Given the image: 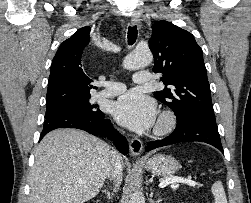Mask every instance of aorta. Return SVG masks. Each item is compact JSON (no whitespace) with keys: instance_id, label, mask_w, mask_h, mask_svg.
I'll use <instances>...</instances> for the list:
<instances>
[{"instance_id":"obj_1","label":"aorta","mask_w":251,"mask_h":203,"mask_svg":"<svg viewBox=\"0 0 251 203\" xmlns=\"http://www.w3.org/2000/svg\"><path fill=\"white\" fill-rule=\"evenodd\" d=\"M152 59V53L148 49H136L124 59L123 66L128 70L144 68L152 62ZM144 202L145 201L142 193L136 190L131 197V203Z\"/></svg>"}]
</instances>
